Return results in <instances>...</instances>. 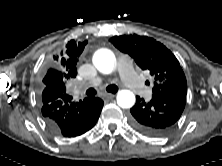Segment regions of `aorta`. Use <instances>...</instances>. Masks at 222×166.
<instances>
[{
    "label": "aorta",
    "mask_w": 222,
    "mask_h": 166,
    "mask_svg": "<svg viewBox=\"0 0 222 166\" xmlns=\"http://www.w3.org/2000/svg\"><path fill=\"white\" fill-rule=\"evenodd\" d=\"M93 64L101 73L110 74L115 67L116 58L111 50L100 49L94 54ZM135 100V95L130 90H121L117 94V104L121 108H131Z\"/></svg>",
    "instance_id": "obj_1"
}]
</instances>
